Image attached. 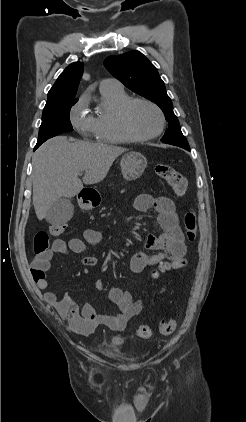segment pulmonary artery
I'll return each mask as SVG.
<instances>
[{"mask_svg": "<svg viewBox=\"0 0 246 422\" xmlns=\"http://www.w3.org/2000/svg\"><path fill=\"white\" fill-rule=\"evenodd\" d=\"M122 88L120 82L115 79H104L100 83V89Z\"/></svg>", "mask_w": 246, "mask_h": 422, "instance_id": "obj_1", "label": "pulmonary artery"}]
</instances>
